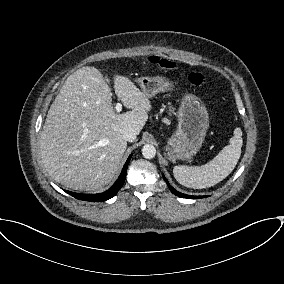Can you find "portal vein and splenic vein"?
<instances>
[{
  "label": "portal vein and splenic vein",
  "instance_id": "1",
  "mask_svg": "<svg viewBox=\"0 0 284 284\" xmlns=\"http://www.w3.org/2000/svg\"><path fill=\"white\" fill-rule=\"evenodd\" d=\"M121 110H122V104L117 103L116 106H115V111L120 112Z\"/></svg>",
  "mask_w": 284,
  "mask_h": 284
}]
</instances>
